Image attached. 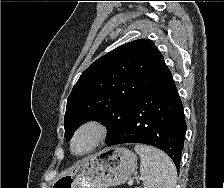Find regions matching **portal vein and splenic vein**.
Returning <instances> with one entry per match:
<instances>
[{"label": "portal vein and splenic vein", "mask_w": 224, "mask_h": 188, "mask_svg": "<svg viewBox=\"0 0 224 188\" xmlns=\"http://www.w3.org/2000/svg\"><path fill=\"white\" fill-rule=\"evenodd\" d=\"M139 179H142V177H140ZM128 184L129 185H132L133 184V181H129Z\"/></svg>", "instance_id": "obj_1"}]
</instances>
